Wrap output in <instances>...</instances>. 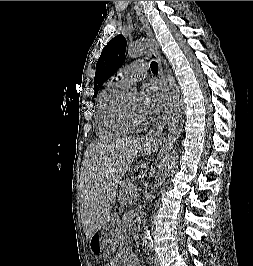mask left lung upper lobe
I'll return each instance as SVG.
<instances>
[{
    "mask_svg": "<svg viewBox=\"0 0 253 266\" xmlns=\"http://www.w3.org/2000/svg\"><path fill=\"white\" fill-rule=\"evenodd\" d=\"M126 45V39L122 35H117L104 47L96 64L94 97L97 96L99 87L123 64Z\"/></svg>",
    "mask_w": 253,
    "mask_h": 266,
    "instance_id": "5c2ea615",
    "label": "left lung upper lobe"
}]
</instances>
